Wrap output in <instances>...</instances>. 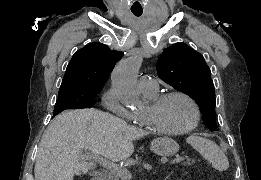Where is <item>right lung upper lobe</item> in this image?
Instances as JSON below:
<instances>
[{"label":"right lung upper lobe","instance_id":"cb5924a9","mask_svg":"<svg viewBox=\"0 0 261 180\" xmlns=\"http://www.w3.org/2000/svg\"><path fill=\"white\" fill-rule=\"evenodd\" d=\"M123 52L112 51L105 44L90 43L74 53L60 88L88 87L102 89L114 64Z\"/></svg>","mask_w":261,"mask_h":180}]
</instances>
